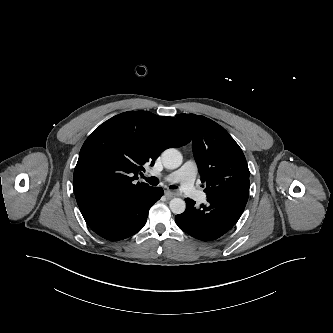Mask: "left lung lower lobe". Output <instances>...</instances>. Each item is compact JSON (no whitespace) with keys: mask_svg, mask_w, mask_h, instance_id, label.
<instances>
[{"mask_svg":"<svg viewBox=\"0 0 333 333\" xmlns=\"http://www.w3.org/2000/svg\"><path fill=\"white\" fill-rule=\"evenodd\" d=\"M206 194L208 203L199 208L185 199L186 210L176 215L175 222L194 238L211 241L228 232L240 218L249 196V178L225 182Z\"/></svg>","mask_w":333,"mask_h":333,"instance_id":"1","label":"left lung lower lobe"}]
</instances>
